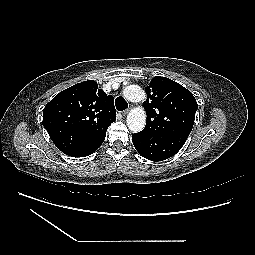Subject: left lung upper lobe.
Here are the masks:
<instances>
[{"label": "left lung upper lobe", "mask_w": 255, "mask_h": 255, "mask_svg": "<svg viewBox=\"0 0 255 255\" xmlns=\"http://www.w3.org/2000/svg\"><path fill=\"white\" fill-rule=\"evenodd\" d=\"M147 122L143 133H168L188 137L198 109L193 94L179 83L155 76L146 88Z\"/></svg>", "instance_id": "left-lung-upper-lobe-1"}]
</instances>
